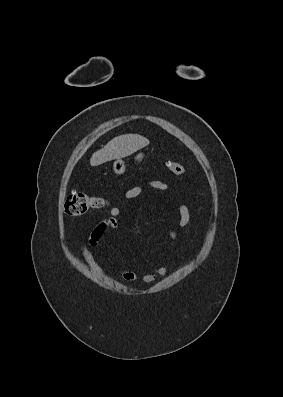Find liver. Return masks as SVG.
Here are the masks:
<instances>
[{
    "label": "liver",
    "instance_id": "6515ba94",
    "mask_svg": "<svg viewBox=\"0 0 283 397\" xmlns=\"http://www.w3.org/2000/svg\"><path fill=\"white\" fill-rule=\"evenodd\" d=\"M149 140L138 134H125L113 138L102 149L93 153L90 164L98 166L113 159L129 156L147 146Z\"/></svg>",
    "mask_w": 283,
    "mask_h": 397
}]
</instances>
